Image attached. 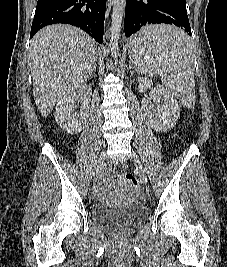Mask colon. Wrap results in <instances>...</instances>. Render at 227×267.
<instances>
[{
    "label": "colon",
    "instance_id": "5ec220e1",
    "mask_svg": "<svg viewBox=\"0 0 227 267\" xmlns=\"http://www.w3.org/2000/svg\"><path fill=\"white\" fill-rule=\"evenodd\" d=\"M106 175L107 178H114L115 176L112 170H109ZM120 182L131 190H136L138 188L137 179L130 173L124 175V177L120 179Z\"/></svg>",
    "mask_w": 227,
    "mask_h": 267
}]
</instances>
